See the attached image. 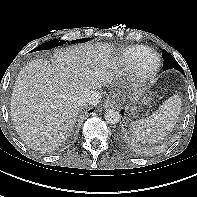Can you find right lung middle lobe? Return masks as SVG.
<instances>
[{"label": "right lung middle lobe", "instance_id": "right-lung-middle-lobe-1", "mask_svg": "<svg viewBox=\"0 0 197 197\" xmlns=\"http://www.w3.org/2000/svg\"><path fill=\"white\" fill-rule=\"evenodd\" d=\"M87 40H89V39H79V40L71 41V43H81V42H85ZM64 43L65 42L63 40H51L49 42H45L42 45L38 46L33 51L51 49V48H54L56 46L63 45Z\"/></svg>", "mask_w": 197, "mask_h": 197}]
</instances>
